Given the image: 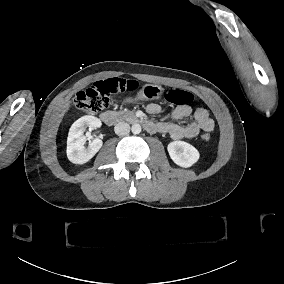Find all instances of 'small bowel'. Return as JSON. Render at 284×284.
I'll return each instance as SVG.
<instances>
[{"label":"small bowel","instance_id":"obj_1","mask_svg":"<svg viewBox=\"0 0 284 284\" xmlns=\"http://www.w3.org/2000/svg\"><path fill=\"white\" fill-rule=\"evenodd\" d=\"M162 107L159 104L151 103L147 106V112L151 115L159 114ZM192 115L194 121L187 125H180L177 122ZM146 128L149 132H161L168 134L174 140L193 139L199 135L201 131L212 132L215 123L210 117L206 108L198 107L193 110L188 105L177 106L170 114L169 118L162 122L148 121Z\"/></svg>","mask_w":284,"mask_h":284}]
</instances>
